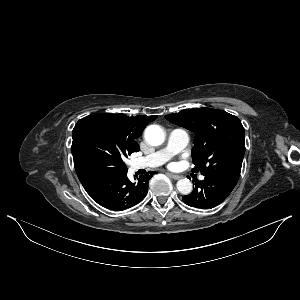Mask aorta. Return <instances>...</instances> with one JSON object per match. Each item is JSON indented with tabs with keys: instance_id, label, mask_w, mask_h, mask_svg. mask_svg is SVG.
<instances>
[{
	"instance_id": "762f6f07",
	"label": "aorta",
	"mask_w": 300,
	"mask_h": 300,
	"mask_svg": "<svg viewBox=\"0 0 300 300\" xmlns=\"http://www.w3.org/2000/svg\"><path fill=\"white\" fill-rule=\"evenodd\" d=\"M144 137L150 145L159 146L165 140V133L159 125H150L145 129ZM176 186L177 190L183 195L190 194L193 189L192 182L187 178L180 179Z\"/></svg>"
}]
</instances>
